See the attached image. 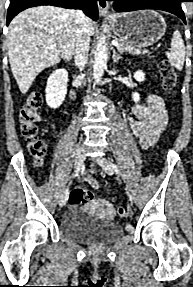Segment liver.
<instances>
[{
    "label": "liver",
    "mask_w": 193,
    "mask_h": 287,
    "mask_svg": "<svg viewBox=\"0 0 193 287\" xmlns=\"http://www.w3.org/2000/svg\"><path fill=\"white\" fill-rule=\"evenodd\" d=\"M75 12L39 6L18 14L10 23L7 49L13 76L22 94H26L36 76L44 69L70 60L76 38ZM95 32L89 21V34Z\"/></svg>",
    "instance_id": "1"
}]
</instances>
